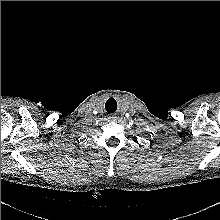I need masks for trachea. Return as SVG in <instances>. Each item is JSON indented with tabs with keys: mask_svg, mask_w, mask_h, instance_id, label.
Returning a JSON list of instances; mask_svg holds the SVG:
<instances>
[{
	"mask_svg": "<svg viewBox=\"0 0 220 220\" xmlns=\"http://www.w3.org/2000/svg\"><path fill=\"white\" fill-rule=\"evenodd\" d=\"M110 100V99H109ZM108 100V101H109ZM106 104H107V107H106ZM106 104H105V108H106V110L109 112V113H113V112H115V106H109L108 105V103L106 102ZM117 108V107H116Z\"/></svg>",
	"mask_w": 220,
	"mask_h": 220,
	"instance_id": "1",
	"label": "trachea"
}]
</instances>
